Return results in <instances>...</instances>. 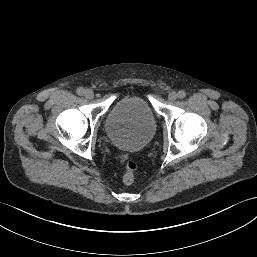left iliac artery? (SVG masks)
Returning a JSON list of instances; mask_svg holds the SVG:
<instances>
[{
    "label": "left iliac artery",
    "mask_w": 257,
    "mask_h": 257,
    "mask_svg": "<svg viewBox=\"0 0 257 257\" xmlns=\"http://www.w3.org/2000/svg\"><path fill=\"white\" fill-rule=\"evenodd\" d=\"M185 96H186L185 91L181 90V91L178 92V98L183 99V98H185Z\"/></svg>",
    "instance_id": "1"
}]
</instances>
